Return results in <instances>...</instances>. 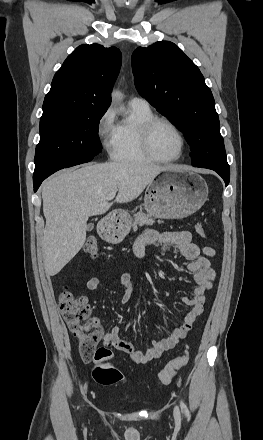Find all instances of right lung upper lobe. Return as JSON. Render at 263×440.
<instances>
[{"instance_id":"right-lung-upper-lobe-1","label":"right lung upper lobe","mask_w":263,"mask_h":440,"mask_svg":"<svg viewBox=\"0 0 263 440\" xmlns=\"http://www.w3.org/2000/svg\"><path fill=\"white\" fill-rule=\"evenodd\" d=\"M116 47L81 45L56 72L43 103V114L107 110L110 92L121 67Z\"/></svg>"}]
</instances>
